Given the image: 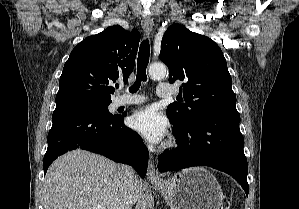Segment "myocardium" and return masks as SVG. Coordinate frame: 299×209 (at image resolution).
<instances>
[{
    "label": "myocardium",
    "instance_id": "obj_1",
    "mask_svg": "<svg viewBox=\"0 0 299 209\" xmlns=\"http://www.w3.org/2000/svg\"><path fill=\"white\" fill-rule=\"evenodd\" d=\"M175 146V142L171 141L167 144V148H172Z\"/></svg>",
    "mask_w": 299,
    "mask_h": 209
}]
</instances>
